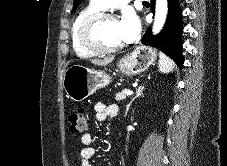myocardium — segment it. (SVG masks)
I'll use <instances>...</instances> for the list:
<instances>
[{
  "label": "myocardium",
  "instance_id": "f54148a6",
  "mask_svg": "<svg viewBox=\"0 0 227 166\" xmlns=\"http://www.w3.org/2000/svg\"><path fill=\"white\" fill-rule=\"evenodd\" d=\"M116 15L108 11H100L87 16L78 28L79 43L95 54H112L124 47L120 44L114 47H105L95 37L96 27L105 20H115Z\"/></svg>",
  "mask_w": 227,
  "mask_h": 166
}]
</instances>
